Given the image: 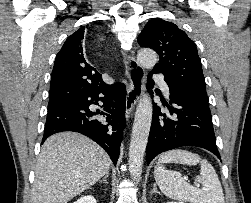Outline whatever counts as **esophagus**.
<instances>
[{
    "label": "esophagus",
    "instance_id": "obj_1",
    "mask_svg": "<svg viewBox=\"0 0 251 203\" xmlns=\"http://www.w3.org/2000/svg\"><path fill=\"white\" fill-rule=\"evenodd\" d=\"M135 51L132 50L126 61V76L128 79L126 95V119L132 116L136 104L142 96L145 72L143 67L135 59Z\"/></svg>",
    "mask_w": 251,
    "mask_h": 203
}]
</instances>
